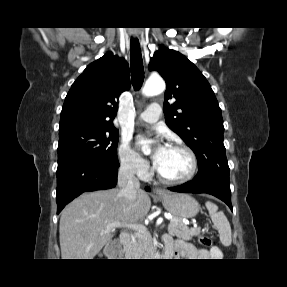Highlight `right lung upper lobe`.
Returning <instances> with one entry per match:
<instances>
[{"instance_id": "right-lung-upper-lobe-1", "label": "right lung upper lobe", "mask_w": 287, "mask_h": 287, "mask_svg": "<svg viewBox=\"0 0 287 287\" xmlns=\"http://www.w3.org/2000/svg\"><path fill=\"white\" fill-rule=\"evenodd\" d=\"M129 88L128 63L107 52L73 83L61 111L59 129L77 123L114 128L118 97Z\"/></svg>"}]
</instances>
